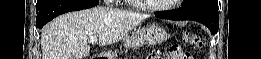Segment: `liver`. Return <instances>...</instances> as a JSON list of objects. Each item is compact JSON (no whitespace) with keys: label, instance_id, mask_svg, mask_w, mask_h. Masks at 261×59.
Masks as SVG:
<instances>
[{"label":"liver","instance_id":"liver-1","mask_svg":"<svg viewBox=\"0 0 261 59\" xmlns=\"http://www.w3.org/2000/svg\"><path fill=\"white\" fill-rule=\"evenodd\" d=\"M146 19V15L97 6L63 14L44 26L42 59H84L91 37L100 46L114 44Z\"/></svg>","mask_w":261,"mask_h":59}]
</instances>
